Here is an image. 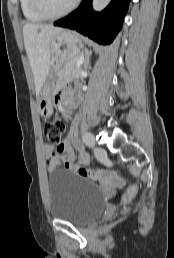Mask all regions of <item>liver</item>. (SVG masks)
Listing matches in <instances>:
<instances>
[{
  "label": "liver",
  "instance_id": "6515ba94",
  "mask_svg": "<svg viewBox=\"0 0 174 258\" xmlns=\"http://www.w3.org/2000/svg\"><path fill=\"white\" fill-rule=\"evenodd\" d=\"M62 31L60 27L28 23L23 26L26 53L32 69L36 96L39 95L50 68V42Z\"/></svg>",
  "mask_w": 174,
  "mask_h": 258
}]
</instances>
